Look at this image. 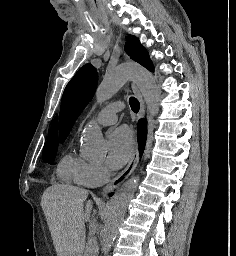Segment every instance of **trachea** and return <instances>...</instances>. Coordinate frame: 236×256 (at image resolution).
<instances>
[{"mask_svg": "<svg viewBox=\"0 0 236 256\" xmlns=\"http://www.w3.org/2000/svg\"><path fill=\"white\" fill-rule=\"evenodd\" d=\"M129 104H130V107H131L132 111H134V113H137L139 111L140 103L137 100V98L130 97L129 98Z\"/></svg>", "mask_w": 236, "mask_h": 256, "instance_id": "3493384b", "label": "trachea"}]
</instances>
